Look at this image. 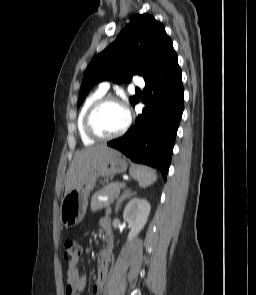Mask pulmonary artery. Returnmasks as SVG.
Returning a JSON list of instances; mask_svg holds the SVG:
<instances>
[{
  "mask_svg": "<svg viewBox=\"0 0 256 295\" xmlns=\"http://www.w3.org/2000/svg\"><path fill=\"white\" fill-rule=\"evenodd\" d=\"M133 83L136 85V86H139V87H143L144 86V80L141 76H136L134 79H133ZM110 88V83L107 82V81H104L102 83H100L99 85V89L101 91H103L104 93H106Z\"/></svg>",
  "mask_w": 256,
  "mask_h": 295,
  "instance_id": "1",
  "label": "pulmonary artery"
}]
</instances>
